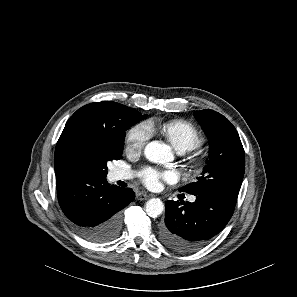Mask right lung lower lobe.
Returning <instances> with one entry per match:
<instances>
[{
  "label": "right lung lower lobe",
  "mask_w": 297,
  "mask_h": 297,
  "mask_svg": "<svg viewBox=\"0 0 297 297\" xmlns=\"http://www.w3.org/2000/svg\"><path fill=\"white\" fill-rule=\"evenodd\" d=\"M60 207L76 232L88 241L115 239L122 226V209L134 199L130 188L110 186L106 177L77 172L57 179Z\"/></svg>",
  "instance_id": "98d812e1"
}]
</instances>
